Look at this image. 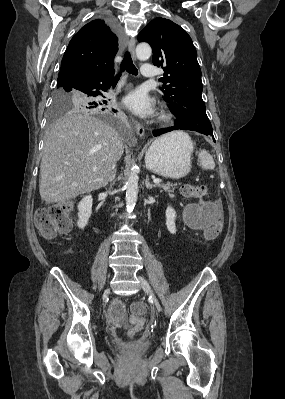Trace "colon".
<instances>
[{"mask_svg":"<svg viewBox=\"0 0 285 399\" xmlns=\"http://www.w3.org/2000/svg\"><path fill=\"white\" fill-rule=\"evenodd\" d=\"M206 190V186L187 184L181 188V194L186 198H201L206 193ZM211 209L213 211L218 210L217 206H212ZM72 211L73 207L69 203L41 208L34 214V226L39 233L46 237H53L59 233L66 232L69 230L73 220ZM222 227L223 222L218 218L216 222L205 231V238H216ZM131 312L140 323L143 322L142 316L144 315L145 307L141 302L133 304ZM137 329L138 328H135L134 331Z\"/></svg>","mask_w":285,"mask_h":399,"instance_id":"1","label":"colon"}]
</instances>
